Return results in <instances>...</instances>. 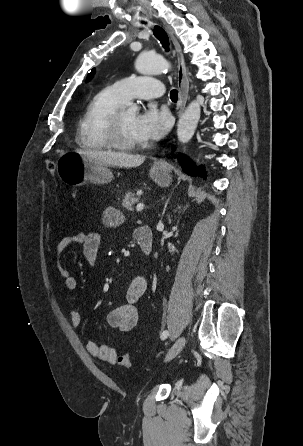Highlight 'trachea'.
I'll list each match as a JSON object with an SVG mask.
<instances>
[{"instance_id": "1", "label": "trachea", "mask_w": 303, "mask_h": 446, "mask_svg": "<svg viewBox=\"0 0 303 446\" xmlns=\"http://www.w3.org/2000/svg\"><path fill=\"white\" fill-rule=\"evenodd\" d=\"M153 33L155 37L161 42L166 51L169 50V39L166 32L159 26H154ZM170 98L173 102L178 99V91L176 89L171 90Z\"/></svg>"}]
</instances>
